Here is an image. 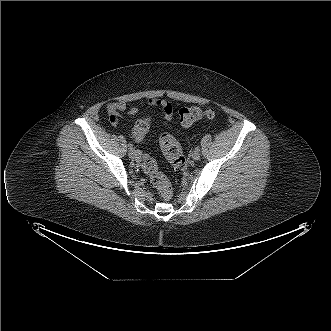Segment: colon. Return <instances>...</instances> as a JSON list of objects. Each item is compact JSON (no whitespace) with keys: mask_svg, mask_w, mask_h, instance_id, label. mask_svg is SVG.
I'll return each instance as SVG.
<instances>
[{"mask_svg":"<svg viewBox=\"0 0 331 331\" xmlns=\"http://www.w3.org/2000/svg\"><path fill=\"white\" fill-rule=\"evenodd\" d=\"M215 117V112L211 108L202 109L197 106L183 107L179 111V123L182 127H189L196 121ZM149 129V120H138L133 128L136 140L142 139ZM160 147L168 162L174 169H183L186 165V158L178 140L170 133H163L159 139ZM142 169L148 175L151 184L158 190L160 197L168 201L171 199L173 190L167 177L159 170L154 158L144 155L142 157Z\"/></svg>","mask_w":331,"mask_h":331,"instance_id":"1","label":"colon"}]
</instances>
